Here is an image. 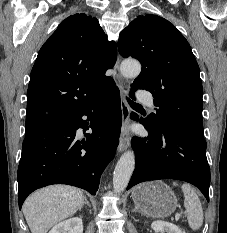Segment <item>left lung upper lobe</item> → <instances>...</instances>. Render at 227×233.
<instances>
[{"mask_svg": "<svg viewBox=\"0 0 227 233\" xmlns=\"http://www.w3.org/2000/svg\"><path fill=\"white\" fill-rule=\"evenodd\" d=\"M118 49L123 57L142 64L131 90L153 94L158 108L145 119L147 125L159 130L171 124L204 138L200 69L189 43L174 25L157 15L138 16L120 33Z\"/></svg>", "mask_w": 227, "mask_h": 233, "instance_id": "obj_1", "label": "left lung upper lobe"}]
</instances>
